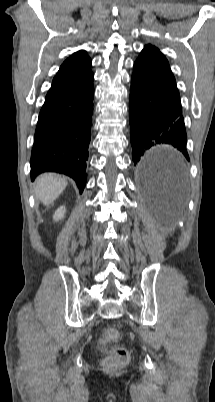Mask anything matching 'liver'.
Here are the masks:
<instances>
[{
    "mask_svg": "<svg viewBox=\"0 0 215 402\" xmlns=\"http://www.w3.org/2000/svg\"><path fill=\"white\" fill-rule=\"evenodd\" d=\"M67 186L65 178L60 175L46 173L40 175L34 185L36 198L46 206L56 200Z\"/></svg>",
    "mask_w": 215,
    "mask_h": 402,
    "instance_id": "liver-1",
    "label": "liver"
}]
</instances>
